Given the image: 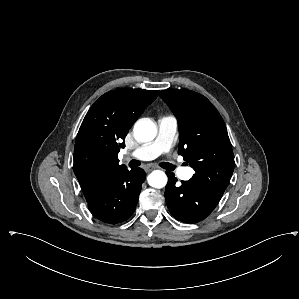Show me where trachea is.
Wrapping results in <instances>:
<instances>
[{"label":"trachea","mask_w":299,"mask_h":299,"mask_svg":"<svg viewBox=\"0 0 299 299\" xmlns=\"http://www.w3.org/2000/svg\"><path fill=\"white\" fill-rule=\"evenodd\" d=\"M140 162L138 160H131L128 165L129 167H138L140 166ZM160 166L163 167L164 169H167V170H173L174 169V166L172 164H169V163H160Z\"/></svg>","instance_id":"trachea-1"}]
</instances>
